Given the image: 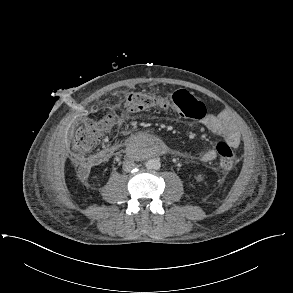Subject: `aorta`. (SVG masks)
Segmentation results:
<instances>
[{
  "label": "aorta",
  "mask_w": 293,
  "mask_h": 293,
  "mask_svg": "<svg viewBox=\"0 0 293 293\" xmlns=\"http://www.w3.org/2000/svg\"><path fill=\"white\" fill-rule=\"evenodd\" d=\"M145 166L147 169L157 170L160 168V161L158 159H149L146 161Z\"/></svg>",
  "instance_id": "obj_1"
}]
</instances>
